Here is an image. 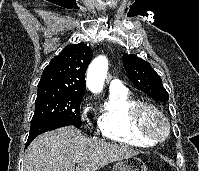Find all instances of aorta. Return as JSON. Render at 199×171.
I'll use <instances>...</instances> for the list:
<instances>
[{"label": "aorta", "instance_id": "1", "mask_svg": "<svg viewBox=\"0 0 199 171\" xmlns=\"http://www.w3.org/2000/svg\"><path fill=\"white\" fill-rule=\"evenodd\" d=\"M108 71V60L105 56H98L88 67L86 84L92 93H100L104 86Z\"/></svg>", "mask_w": 199, "mask_h": 171}]
</instances>
